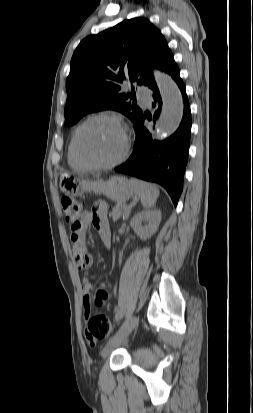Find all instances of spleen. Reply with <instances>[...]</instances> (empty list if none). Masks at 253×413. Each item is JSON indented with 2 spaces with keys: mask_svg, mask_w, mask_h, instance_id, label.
I'll list each match as a JSON object with an SVG mask.
<instances>
[{
  "mask_svg": "<svg viewBox=\"0 0 253 413\" xmlns=\"http://www.w3.org/2000/svg\"><path fill=\"white\" fill-rule=\"evenodd\" d=\"M130 184L145 208H151L155 205L159 196V189L155 185L135 178L130 179Z\"/></svg>",
  "mask_w": 253,
  "mask_h": 413,
  "instance_id": "3e777b00",
  "label": "spleen"
}]
</instances>
